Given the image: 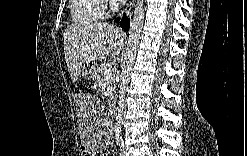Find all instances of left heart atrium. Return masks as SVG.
<instances>
[{
	"label": "left heart atrium",
	"instance_id": "39dd6f15",
	"mask_svg": "<svg viewBox=\"0 0 247 156\" xmlns=\"http://www.w3.org/2000/svg\"><path fill=\"white\" fill-rule=\"evenodd\" d=\"M115 3H122V1H115Z\"/></svg>",
	"mask_w": 247,
	"mask_h": 156
}]
</instances>
